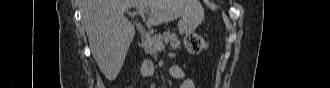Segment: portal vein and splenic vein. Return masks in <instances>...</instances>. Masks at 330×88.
<instances>
[{
  "label": "portal vein and splenic vein",
  "instance_id": "portal-vein-and-splenic-vein-1",
  "mask_svg": "<svg viewBox=\"0 0 330 88\" xmlns=\"http://www.w3.org/2000/svg\"><path fill=\"white\" fill-rule=\"evenodd\" d=\"M137 13L140 16H144L145 10L144 9H139L137 11ZM155 48L160 51V50H163L165 48V45L163 43H155Z\"/></svg>",
  "mask_w": 330,
  "mask_h": 88
}]
</instances>
